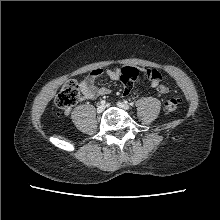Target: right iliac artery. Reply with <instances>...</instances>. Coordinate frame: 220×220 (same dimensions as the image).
I'll return each instance as SVG.
<instances>
[{
    "instance_id": "82829eb1",
    "label": "right iliac artery",
    "mask_w": 220,
    "mask_h": 220,
    "mask_svg": "<svg viewBox=\"0 0 220 220\" xmlns=\"http://www.w3.org/2000/svg\"><path fill=\"white\" fill-rule=\"evenodd\" d=\"M102 105H104L105 103H106V101L105 100H101V102H100Z\"/></svg>"
}]
</instances>
